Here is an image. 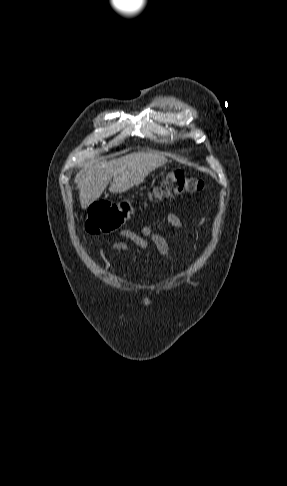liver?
<instances>
[{"label":"liver","instance_id":"obj_1","mask_svg":"<svg viewBox=\"0 0 287 486\" xmlns=\"http://www.w3.org/2000/svg\"><path fill=\"white\" fill-rule=\"evenodd\" d=\"M167 159L155 153H132L107 161L91 160L75 177L80 204L88 208L103 193L111 179V193H122L139 184L150 172L164 165Z\"/></svg>","mask_w":287,"mask_h":486}]
</instances>
